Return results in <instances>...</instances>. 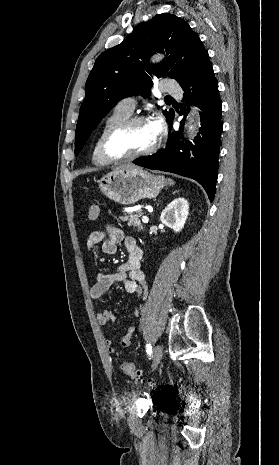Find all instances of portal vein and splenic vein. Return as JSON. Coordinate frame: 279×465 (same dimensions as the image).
<instances>
[{"mask_svg": "<svg viewBox=\"0 0 279 465\" xmlns=\"http://www.w3.org/2000/svg\"><path fill=\"white\" fill-rule=\"evenodd\" d=\"M142 222L143 223H148L149 222V218L147 216H143L142 217Z\"/></svg>", "mask_w": 279, "mask_h": 465, "instance_id": "obj_1", "label": "portal vein and splenic vein"}]
</instances>
